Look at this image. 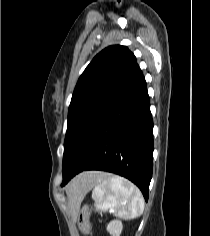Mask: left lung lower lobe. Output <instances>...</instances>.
Listing matches in <instances>:
<instances>
[{
    "mask_svg": "<svg viewBox=\"0 0 210 236\" xmlns=\"http://www.w3.org/2000/svg\"><path fill=\"white\" fill-rule=\"evenodd\" d=\"M153 169V121L143 74L86 127L63 164L64 186L84 170H102L135 183L148 200Z\"/></svg>",
    "mask_w": 210,
    "mask_h": 236,
    "instance_id": "left-lung-lower-lobe-1",
    "label": "left lung lower lobe"
}]
</instances>
